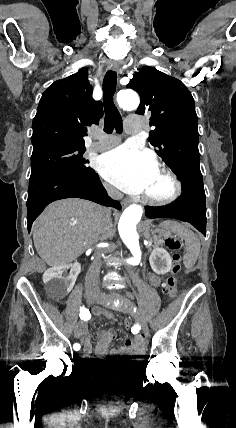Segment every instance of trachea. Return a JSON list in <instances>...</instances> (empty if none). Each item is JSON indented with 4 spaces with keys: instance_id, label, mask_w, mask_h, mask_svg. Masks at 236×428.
<instances>
[{
    "instance_id": "trachea-1",
    "label": "trachea",
    "mask_w": 236,
    "mask_h": 428,
    "mask_svg": "<svg viewBox=\"0 0 236 428\" xmlns=\"http://www.w3.org/2000/svg\"><path fill=\"white\" fill-rule=\"evenodd\" d=\"M117 86V74L113 70H108L103 80V104L105 110L104 131L112 133L113 128L118 133L123 131V122L113 97Z\"/></svg>"
}]
</instances>
